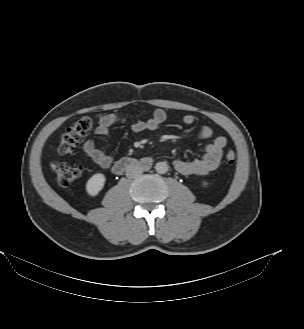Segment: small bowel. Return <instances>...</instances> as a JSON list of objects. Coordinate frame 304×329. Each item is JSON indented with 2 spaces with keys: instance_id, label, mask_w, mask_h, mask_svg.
<instances>
[{
  "instance_id": "obj_1",
  "label": "small bowel",
  "mask_w": 304,
  "mask_h": 329,
  "mask_svg": "<svg viewBox=\"0 0 304 329\" xmlns=\"http://www.w3.org/2000/svg\"><path fill=\"white\" fill-rule=\"evenodd\" d=\"M166 119L167 113L163 109H156L148 118L136 121H130L126 117L116 113H108L99 119L95 133L100 137L109 138L110 128L114 125H126L134 132L153 131L164 123ZM183 123L186 126L193 125L195 123V116L193 114H186L183 117ZM208 138H212V140L205 145L204 155L202 157L190 161L180 159L174 161V169L178 173L188 176H202L218 168L227 141L223 136L213 137V131L208 126L201 127L193 140ZM83 153L101 168H109L112 164V157L100 150L96 146V142L92 139L84 142Z\"/></svg>"
}]
</instances>
